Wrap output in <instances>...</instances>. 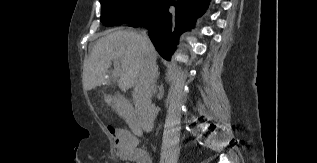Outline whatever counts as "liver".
I'll list each match as a JSON object with an SVG mask.
<instances>
[{
  "instance_id": "6515ba94",
  "label": "liver",
  "mask_w": 317,
  "mask_h": 163,
  "mask_svg": "<svg viewBox=\"0 0 317 163\" xmlns=\"http://www.w3.org/2000/svg\"><path fill=\"white\" fill-rule=\"evenodd\" d=\"M154 54L156 56L155 50ZM112 60L121 63L119 86L122 91H127L135 85L142 66V35L136 31L116 30L99 38L84 68L83 86L86 90L103 84ZM111 101L110 95L105 96L106 103Z\"/></svg>"
}]
</instances>
